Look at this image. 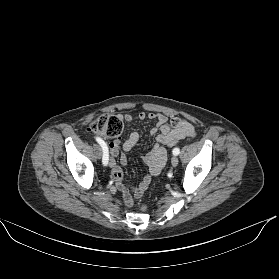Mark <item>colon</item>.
<instances>
[{
    "label": "colon",
    "instance_id": "1",
    "mask_svg": "<svg viewBox=\"0 0 279 279\" xmlns=\"http://www.w3.org/2000/svg\"><path fill=\"white\" fill-rule=\"evenodd\" d=\"M90 131L106 138H119L123 132V123L121 119L114 115H100L90 124ZM182 139L172 137L168 140L167 145L173 147ZM143 210L146 206L142 207Z\"/></svg>",
    "mask_w": 279,
    "mask_h": 279
}]
</instances>
